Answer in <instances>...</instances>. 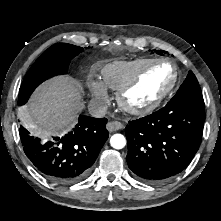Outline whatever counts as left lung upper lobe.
<instances>
[{
    "mask_svg": "<svg viewBox=\"0 0 221 221\" xmlns=\"http://www.w3.org/2000/svg\"><path fill=\"white\" fill-rule=\"evenodd\" d=\"M175 108L194 109L204 112V100L199 83L192 71H189L185 81L169 102Z\"/></svg>",
    "mask_w": 221,
    "mask_h": 221,
    "instance_id": "obj_1",
    "label": "left lung upper lobe"
}]
</instances>
